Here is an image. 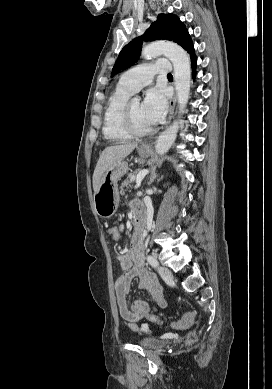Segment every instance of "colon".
I'll return each mask as SVG.
<instances>
[{"label": "colon", "instance_id": "obj_1", "mask_svg": "<svg viewBox=\"0 0 272 389\" xmlns=\"http://www.w3.org/2000/svg\"><path fill=\"white\" fill-rule=\"evenodd\" d=\"M109 236L112 240L118 241L121 237V231L118 227L112 226L108 229ZM150 321L158 324H162L163 321L155 314H148ZM193 321V316L191 313L185 314L180 320L171 323V327L175 329H186L188 328ZM197 340V335L195 332H190L187 334L186 341L188 344H192Z\"/></svg>", "mask_w": 272, "mask_h": 389}]
</instances>
